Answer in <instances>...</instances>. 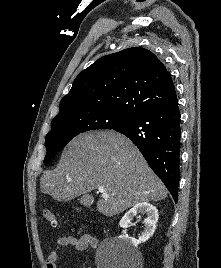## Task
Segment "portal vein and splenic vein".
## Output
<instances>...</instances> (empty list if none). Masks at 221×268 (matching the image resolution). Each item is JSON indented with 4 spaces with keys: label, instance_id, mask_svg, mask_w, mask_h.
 Returning <instances> with one entry per match:
<instances>
[{
    "label": "portal vein and splenic vein",
    "instance_id": "portal-vein-and-splenic-vein-1",
    "mask_svg": "<svg viewBox=\"0 0 221 268\" xmlns=\"http://www.w3.org/2000/svg\"><path fill=\"white\" fill-rule=\"evenodd\" d=\"M98 190L101 193L103 198H108L109 197L108 194L105 192L103 187H99Z\"/></svg>",
    "mask_w": 221,
    "mask_h": 268
}]
</instances>
